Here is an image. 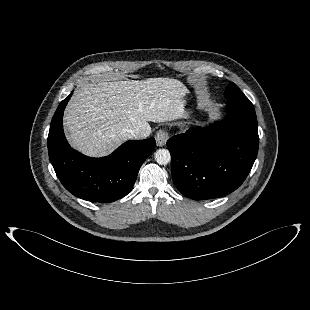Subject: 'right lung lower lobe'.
Instances as JSON below:
<instances>
[{"label": "right lung lower lobe", "instance_id": "98d812e1", "mask_svg": "<svg viewBox=\"0 0 310 310\" xmlns=\"http://www.w3.org/2000/svg\"><path fill=\"white\" fill-rule=\"evenodd\" d=\"M72 93L58 106L50 125V162L63 186L73 195L91 202H112L127 195L138 171L155 148L153 137L130 140L112 154L90 158L72 149L63 132V112Z\"/></svg>", "mask_w": 310, "mask_h": 310}]
</instances>
